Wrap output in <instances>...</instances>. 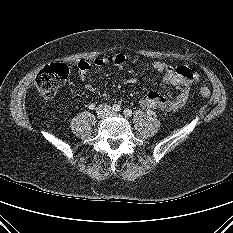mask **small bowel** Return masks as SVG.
Masks as SVG:
<instances>
[{
  "instance_id": "c3829d8e",
  "label": "small bowel",
  "mask_w": 233,
  "mask_h": 233,
  "mask_svg": "<svg viewBox=\"0 0 233 233\" xmlns=\"http://www.w3.org/2000/svg\"><path fill=\"white\" fill-rule=\"evenodd\" d=\"M126 57L121 54H112L105 57L97 58L92 63L80 62V76L86 79L88 70L92 67L100 68L107 64L122 65ZM153 69L163 75V82L169 86H180L181 90L175 97L161 96L156 92L147 93L140 101L141 107L147 111L162 110L174 112L180 109L186 102L189 95L190 85L196 82L197 77L190 69L185 66L173 67L166 63L155 61L152 64ZM88 90L95 89V83L92 80L86 82Z\"/></svg>"
}]
</instances>
